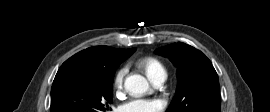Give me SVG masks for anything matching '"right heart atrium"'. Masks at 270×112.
I'll list each match as a JSON object with an SVG mask.
<instances>
[{
    "instance_id": "right-heart-atrium-1",
    "label": "right heart atrium",
    "mask_w": 270,
    "mask_h": 112,
    "mask_svg": "<svg viewBox=\"0 0 270 112\" xmlns=\"http://www.w3.org/2000/svg\"><path fill=\"white\" fill-rule=\"evenodd\" d=\"M126 73H127V67L126 66L120 68L116 72V74L114 76L113 84H114V87L117 90H121L122 89L123 82H124V78H125Z\"/></svg>"
}]
</instances>
